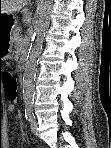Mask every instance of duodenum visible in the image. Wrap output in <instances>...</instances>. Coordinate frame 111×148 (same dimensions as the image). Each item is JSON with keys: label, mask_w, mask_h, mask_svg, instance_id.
<instances>
[{"label": "duodenum", "mask_w": 111, "mask_h": 148, "mask_svg": "<svg viewBox=\"0 0 111 148\" xmlns=\"http://www.w3.org/2000/svg\"><path fill=\"white\" fill-rule=\"evenodd\" d=\"M19 63H20V65H21L22 68H25V66H26V57L23 56V55H20V57H19Z\"/></svg>", "instance_id": "410a0bca"}]
</instances>
